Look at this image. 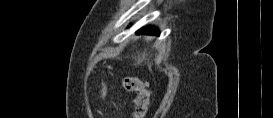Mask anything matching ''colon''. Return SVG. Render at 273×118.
<instances>
[{
	"label": "colon",
	"mask_w": 273,
	"mask_h": 118,
	"mask_svg": "<svg viewBox=\"0 0 273 118\" xmlns=\"http://www.w3.org/2000/svg\"><path fill=\"white\" fill-rule=\"evenodd\" d=\"M123 87L128 92H135L137 94L134 104V117L144 118L149 104V94L143 83L138 77H125L123 79ZM106 87L102 84L101 95L105 96Z\"/></svg>",
	"instance_id": "5ec220e1"
}]
</instances>
